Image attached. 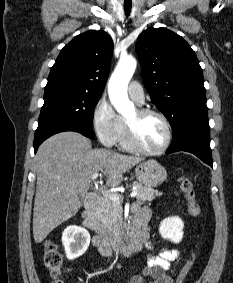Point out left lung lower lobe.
Wrapping results in <instances>:
<instances>
[{"instance_id": "1", "label": "left lung lower lobe", "mask_w": 233, "mask_h": 283, "mask_svg": "<svg viewBox=\"0 0 233 283\" xmlns=\"http://www.w3.org/2000/svg\"><path fill=\"white\" fill-rule=\"evenodd\" d=\"M173 139L172 145L166 154L187 151L212 167L209 126H193Z\"/></svg>"}]
</instances>
